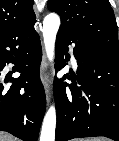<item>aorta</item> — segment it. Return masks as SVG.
I'll list each match as a JSON object with an SVG mask.
<instances>
[{
	"mask_svg": "<svg viewBox=\"0 0 119 141\" xmlns=\"http://www.w3.org/2000/svg\"><path fill=\"white\" fill-rule=\"evenodd\" d=\"M60 26V18L57 14L51 13L43 21V38L47 57L50 61L54 58L56 35ZM56 110L51 106L47 111L40 135V141H55Z\"/></svg>",
	"mask_w": 119,
	"mask_h": 141,
	"instance_id": "aorta-1",
	"label": "aorta"
}]
</instances>
